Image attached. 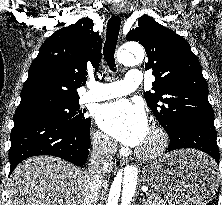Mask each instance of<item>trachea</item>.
Instances as JSON below:
<instances>
[{
	"instance_id": "3493384b",
	"label": "trachea",
	"mask_w": 222,
	"mask_h": 205,
	"mask_svg": "<svg viewBox=\"0 0 222 205\" xmlns=\"http://www.w3.org/2000/svg\"><path fill=\"white\" fill-rule=\"evenodd\" d=\"M121 20L118 16H112L107 23L106 41L103 48V55L110 70L116 71L115 49L117 45Z\"/></svg>"
}]
</instances>
